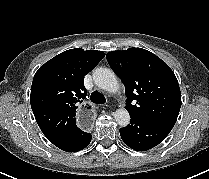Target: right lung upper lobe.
<instances>
[{"instance_id":"1","label":"right lung upper lobe","mask_w":209,"mask_h":179,"mask_svg":"<svg viewBox=\"0 0 209 179\" xmlns=\"http://www.w3.org/2000/svg\"><path fill=\"white\" fill-rule=\"evenodd\" d=\"M104 56L102 51L71 49L55 56L36 72L31 87V108L51 143L77 128L76 109L86 97L84 76Z\"/></svg>"}]
</instances>
